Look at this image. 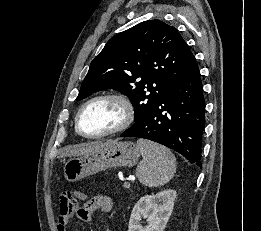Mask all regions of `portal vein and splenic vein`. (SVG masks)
<instances>
[{
    "instance_id": "1",
    "label": "portal vein and splenic vein",
    "mask_w": 261,
    "mask_h": 231,
    "mask_svg": "<svg viewBox=\"0 0 261 231\" xmlns=\"http://www.w3.org/2000/svg\"><path fill=\"white\" fill-rule=\"evenodd\" d=\"M126 185L130 186V184L128 182H125Z\"/></svg>"
}]
</instances>
